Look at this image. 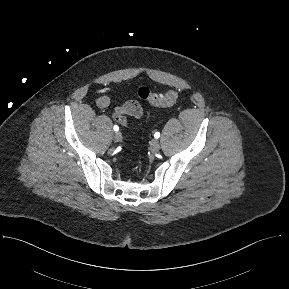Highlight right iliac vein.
<instances>
[{
	"instance_id": "obj_1",
	"label": "right iliac vein",
	"mask_w": 289,
	"mask_h": 289,
	"mask_svg": "<svg viewBox=\"0 0 289 289\" xmlns=\"http://www.w3.org/2000/svg\"><path fill=\"white\" fill-rule=\"evenodd\" d=\"M113 139H114L116 142H119V141L122 139V134H121V132L116 131V132L113 134Z\"/></svg>"
}]
</instances>
